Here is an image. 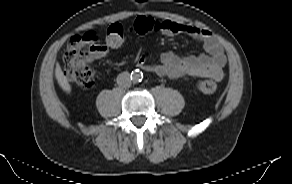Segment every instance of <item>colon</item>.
<instances>
[{"label": "colon", "instance_id": "1", "mask_svg": "<svg viewBox=\"0 0 292 184\" xmlns=\"http://www.w3.org/2000/svg\"><path fill=\"white\" fill-rule=\"evenodd\" d=\"M139 34L157 31L156 23L149 18H142L136 24ZM127 29L119 23L112 24L105 37V43L98 41L97 35L90 31L74 36L63 55L64 71L67 78L82 88H91L95 84V73L89 62L102 55L108 48H116L123 44ZM198 89L204 94H211L217 90V83L212 80H202Z\"/></svg>", "mask_w": 292, "mask_h": 184}]
</instances>
